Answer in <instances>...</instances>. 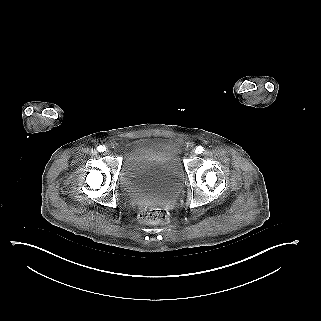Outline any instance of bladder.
Returning a JSON list of instances; mask_svg holds the SVG:
<instances>
[{
  "mask_svg": "<svg viewBox=\"0 0 321 321\" xmlns=\"http://www.w3.org/2000/svg\"><path fill=\"white\" fill-rule=\"evenodd\" d=\"M184 183L176 144L163 138L130 141L122 156L119 184L134 203H153L175 197Z\"/></svg>",
  "mask_w": 321,
  "mask_h": 321,
  "instance_id": "31cf9c89",
  "label": "bladder"
}]
</instances>
